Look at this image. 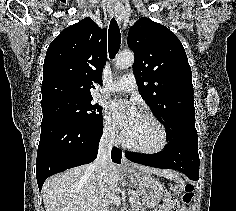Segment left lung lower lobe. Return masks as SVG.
Returning a JSON list of instances; mask_svg holds the SVG:
<instances>
[{"label": "left lung lower lobe", "instance_id": "left-lung-lower-lobe-1", "mask_svg": "<svg viewBox=\"0 0 236 211\" xmlns=\"http://www.w3.org/2000/svg\"><path fill=\"white\" fill-rule=\"evenodd\" d=\"M132 162L163 169H175L193 181L199 180L198 141H171L156 154L125 152Z\"/></svg>", "mask_w": 236, "mask_h": 211}]
</instances>
